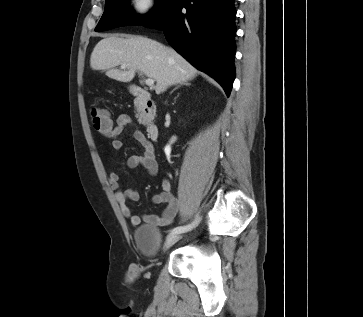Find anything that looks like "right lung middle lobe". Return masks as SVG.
Returning a JSON list of instances; mask_svg holds the SVG:
<instances>
[{"mask_svg": "<svg viewBox=\"0 0 363 317\" xmlns=\"http://www.w3.org/2000/svg\"><path fill=\"white\" fill-rule=\"evenodd\" d=\"M174 0H156L154 9L144 17H134L132 9L128 7V0H106L104 13L95 28V31L127 26H144L161 17L171 6Z\"/></svg>", "mask_w": 363, "mask_h": 317, "instance_id": "1", "label": "right lung middle lobe"}]
</instances>
